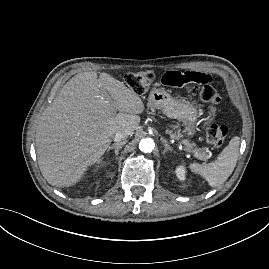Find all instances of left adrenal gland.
Returning a JSON list of instances; mask_svg holds the SVG:
<instances>
[{
  "mask_svg": "<svg viewBox=\"0 0 269 269\" xmlns=\"http://www.w3.org/2000/svg\"><path fill=\"white\" fill-rule=\"evenodd\" d=\"M161 142L164 145L163 155L165 156L166 152L172 151V148L169 146V144L163 138H161Z\"/></svg>",
  "mask_w": 269,
  "mask_h": 269,
  "instance_id": "obj_1",
  "label": "left adrenal gland"
}]
</instances>
